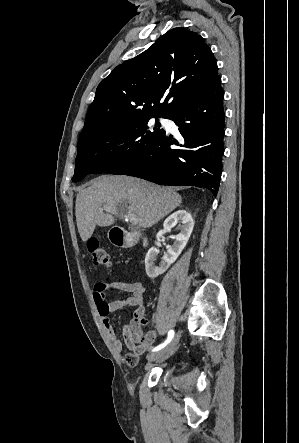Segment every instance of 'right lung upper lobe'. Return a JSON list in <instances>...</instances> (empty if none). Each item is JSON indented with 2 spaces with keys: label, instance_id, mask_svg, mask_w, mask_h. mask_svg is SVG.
I'll return each instance as SVG.
<instances>
[{
  "label": "right lung upper lobe",
  "instance_id": "right-lung-upper-lobe-1",
  "mask_svg": "<svg viewBox=\"0 0 299 443\" xmlns=\"http://www.w3.org/2000/svg\"><path fill=\"white\" fill-rule=\"evenodd\" d=\"M217 76L216 60L204 39L183 27L171 29L101 81L80 138L114 123L164 117Z\"/></svg>",
  "mask_w": 299,
  "mask_h": 443
}]
</instances>
